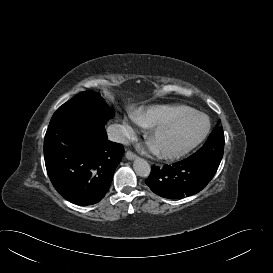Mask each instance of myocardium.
<instances>
[{
  "label": "myocardium",
  "instance_id": "myocardium-1",
  "mask_svg": "<svg viewBox=\"0 0 273 273\" xmlns=\"http://www.w3.org/2000/svg\"><path fill=\"white\" fill-rule=\"evenodd\" d=\"M196 116L203 117L206 120L205 129L196 140H194L191 144L187 145L186 147H184L180 150H176V151H165V150H160V149L156 148V146L154 145L153 139L157 133L162 132L167 129H170V128H173V127H176V126L182 124L183 122L187 121L188 119H190L192 117H196ZM210 126H211V124H210L209 117L205 113L192 110L189 113L183 115L182 117L174 120L171 123L154 127L146 135L145 141H146L147 145L149 146V148L152 150V152L155 155H157L158 157L164 158V159H174V158H178L180 156L187 154L192 149H194L196 146H198L208 135L209 130H210Z\"/></svg>",
  "mask_w": 273,
  "mask_h": 273
}]
</instances>
